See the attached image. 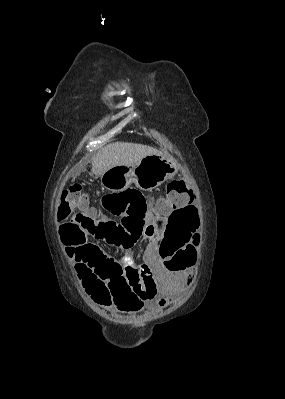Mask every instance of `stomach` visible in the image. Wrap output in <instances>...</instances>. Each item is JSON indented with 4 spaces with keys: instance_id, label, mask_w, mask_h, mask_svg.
<instances>
[{
    "instance_id": "obj_1",
    "label": "stomach",
    "mask_w": 285,
    "mask_h": 399,
    "mask_svg": "<svg viewBox=\"0 0 285 399\" xmlns=\"http://www.w3.org/2000/svg\"><path fill=\"white\" fill-rule=\"evenodd\" d=\"M177 173L174 163L161 154L144 157L133 166H115L101 176V185L111 192L127 189L132 183L144 191H151Z\"/></svg>"
}]
</instances>
